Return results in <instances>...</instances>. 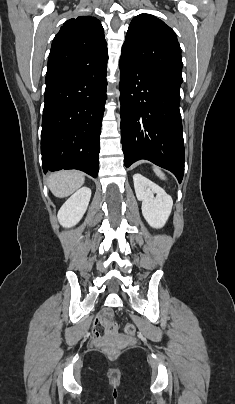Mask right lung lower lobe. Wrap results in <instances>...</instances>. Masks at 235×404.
I'll return each instance as SVG.
<instances>
[{"mask_svg":"<svg viewBox=\"0 0 235 404\" xmlns=\"http://www.w3.org/2000/svg\"><path fill=\"white\" fill-rule=\"evenodd\" d=\"M107 62L46 76L43 171L78 169L97 177Z\"/></svg>","mask_w":235,"mask_h":404,"instance_id":"1","label":"right lung lower lobe"}]
</instances>
